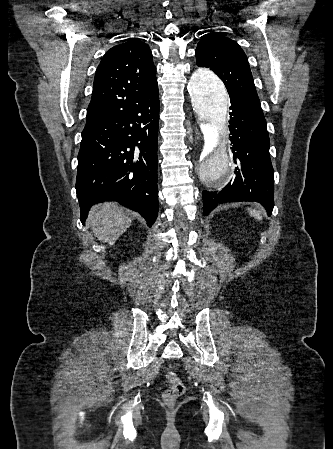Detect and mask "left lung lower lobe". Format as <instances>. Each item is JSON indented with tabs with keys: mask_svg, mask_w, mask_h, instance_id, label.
<instances>
[{
	"mask_svg": "<svg viewBox=\"0 0 333 449\" xmlns=\"http://www.w3.org/2000/svg\"><path fill=\"white\" fill-rule=\"evenodd\" d=\"M230 96V132L235 177L222 189L202 192L204 215L218 204L238 201L261 203L268 215L274 206V171L270 160L269 135L262 108Z\"/></svg>",
	"mask_w": 333,
	"mask_h": 449,
	"instance_id": "left-lung-lower-lobe-1",
	"label": "left lung lower lobe"
}]
</instances>
